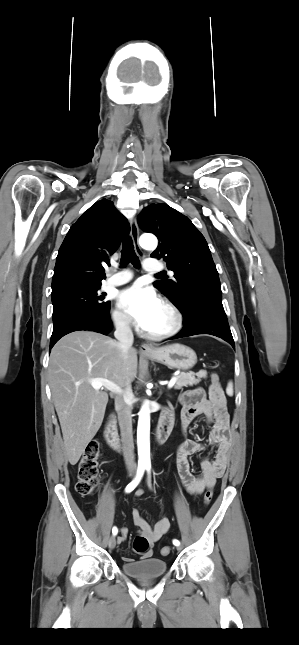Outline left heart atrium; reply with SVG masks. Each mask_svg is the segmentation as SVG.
<instances>
[{
    "instance_id": "39dd6f15",
    "label": "left heart atrium",
    "mask_w": 299,
    "mask_h": 645,
    "mask_svg": "<svg viewBox=\"0 0 299 645\" xmlns=\"http://www.w3.org/2000/svg\"><path fill=\"white\" fill-rule=\"evenodd\" d=\"M118 304L146 330L160 310L162 301L152 289L136 283L120 292Z\"/></svg>"
}]
</instances>
